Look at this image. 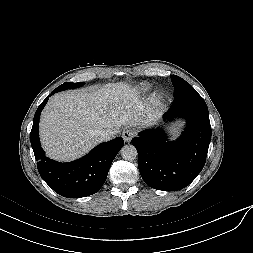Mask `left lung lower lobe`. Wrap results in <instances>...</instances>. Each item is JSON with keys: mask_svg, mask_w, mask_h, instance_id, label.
Here are the masks:
<instances>
[{"mask_svg": "<svg viewBox=\"0 0 253 253\" xmlns=\"http://www.w3.org/2000/svg\"><path fill=\"white\" fill-rule=\"evenodd\" d=\"M181 116L187 127L176 141H167L161 129L146 130L132 140L144 182L157 190L176 191L188 186L203 169L211 140L209 113L204 99L194 93L174 101L164 117Z\"/></svg>", "mask_w": 253, "mask_h": 253, "instance_id": "0a47b994", "label": "left lung lower lobe"}]
</instances>
